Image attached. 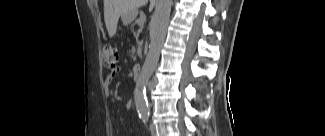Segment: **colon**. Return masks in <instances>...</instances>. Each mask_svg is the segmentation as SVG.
Listing matches in <instances>:
<instances>
[{"instance_id": "colon-1", "label": "colon", "mask_w": 325, "mask_h": 136, "mask_svg": "<svg viewBox=\"0 0 325 136\" xmlns=\"http://www.w3.org/2000/svg\"><path fill=\"white\" fill-rule=\"evenodd\" d=\"M104 64L108 69L114 70L117 66L118 53L115 47L105 45L103 47Z\"/></svg>"}]
</instances>
